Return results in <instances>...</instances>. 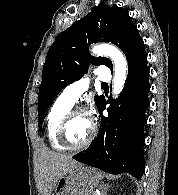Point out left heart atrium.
I'll list each match as a JSON object with an SVG mask.
<instances>
[{
    "label": "left heart atrium",
    "mask_w": 178,
    "mask_h": 195,
    "mask_svg": "<svg viewBox=\"0 0 178 195\" xmlns=\"http://www.w3.org/2000/svg\"><path fill=\"white\" fill-rule=\"evenodd\" d=\"M89 119H90V120L92 119L90 115H89Z\"/></svg>",
    "instance_id": "1"
}]
</instances>
